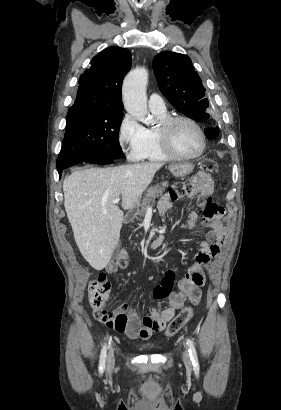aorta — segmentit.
Instances as JSON below:
<instances>
[{"mask_svg": "<svg viewBox=\"0 0 281 410\" xmlns=\"http://www.w3.org/2000/svg\"><path fill=\"white\" fill-rule=\"evenodd\" d=\"M147 83L148 71L145 68H136L125 77L122 88L126 111L145 124L150 123L146 98Z\"/></svg>", "mask_w": 281, "mask_h": 410, "instance_id": "762f6f07", "label": "aorta"}]
</instances>
